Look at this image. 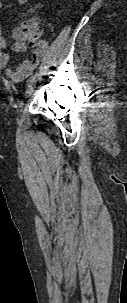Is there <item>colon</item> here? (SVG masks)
I'll use <instances>...</instances> for the list:
<instances>
[{
    "instance_id": "colon-1",
    "label": "colon",
    "mask_w": 127,
    "mask_h": 303,
    "mask_svg": "<svg viewBox=\"0 0 127 303\" xmlns=\"http://www.w3.org/2000/svg\"><path fill=\"white\" fill-rule=\"evenodd\" d=\"M23 33L30 40H37L41 35V30L37 23L35 22H26L23 26Z\"/></svg>"
}]
</instances>
